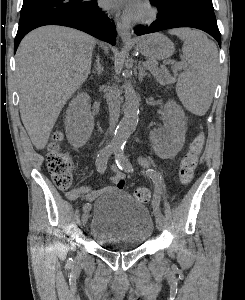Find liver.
Wrapping results in <instances>:
<instances>
[{"mask_svg":"<svg viewBox=\"0 0 245 300\" xmlns=\"http://www.w3.org/2000/svg\"><path fill=\"white\" fill-rule=\"evenodd\" d=\"M95 46L90 35L54 25L37 28L21 41L16 53L20 114L38 150L44 149L62 108L90 74Z\"/></svg>","mask_w":245,"mask_h":300,"instance_id":"liver-1","label":"liver"}]
</instances>
